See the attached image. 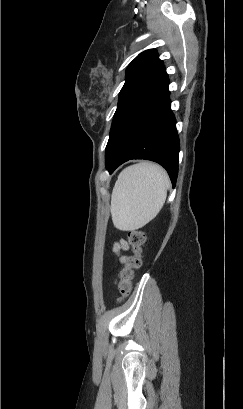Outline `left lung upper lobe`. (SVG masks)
Returning a JSON list of instances; mask_svg holds the SVG:
<instances>
[{"label":"left lung upper lobe","mask_w":243,"mask_h":409,"mask_svg":"<svg viewBox=\"0 0 243 409\" xmlns=\"http://www.w3.org/2000/svg\"><path fill=\"white\" fill-rule=\"evenodd\" d=\"M163 67V62L158 58L155 49L140 53L128 66L126 82L119 94L117 110L114 114L109 140L106 146V165L111 164L117 155V142L115 127L137 95L149 80Z\"/></svg>","instance_id":"1"}]
</instances>
